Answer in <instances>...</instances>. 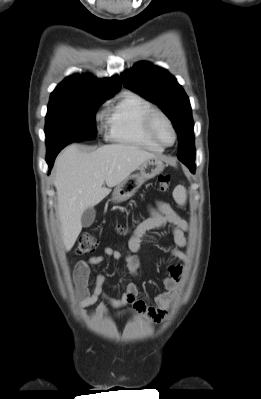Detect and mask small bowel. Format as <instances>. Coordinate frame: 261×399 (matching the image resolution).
<instances>
[{
    "mask_svg": "<svg viewBox=\"0 0 261 399\" xmlns=\"http://www.w3.org/2000/svg\"><path fill=\"white\" fill-rule=\"evenodd\" d=\"M167 225L172 226L171 236L175 246L170 249V255L176 261L166 264L168 275L161 278L166 291L155 297L154 306H149L139 298L140 291L136 279L141 268V262L139 256L134 253L141 249L148 233ZM186 230L187 223L168 203L157 202L156 207L150 208L149 216L140 223L129 239L128 248L132 253L106 247L104 254L94 255L87 260L77 262L73 279L80 307L83 309L97 304V314L104 316L108 313L107 304L115 308L131 304V310H121L117 315L130 314L133 318L146 317L150 324L164 321L169 307L179 291L184 265L188 261L187 254L182 250L187 245ZM106 257L123 261L128 273L134 278L126 284L125 291L119 298L111 297L105 292L106 277L103 274L96 277L92 291L88 288L91 266L100 265ZM99 299H102V301L98 303Z\"/></svg>",
    "mask_w": 261,
    "mask_h": 399,
    "instance_id": "small-bowel-1",
    "label": "small bowel"
}]
</instances>
